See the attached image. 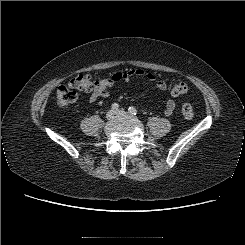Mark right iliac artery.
Returning <instances> with one entry per match:
<instances>
[{
	"instance_id": "82829eb1",
	"label": "right iliac artery",
	"mask_w": 245,
	"mask_h": 245,
	"mask_svg": "<svg viewBox=\"0 0 245 245\" xmlns=\"http://www.w3.org/2000/svg\"><path fill=\"white\" fill-rule=\"evenodd\" d=\"M119 108L118 103L112 104V109L117 110Z\"/></svg>"
}]
</instances>
